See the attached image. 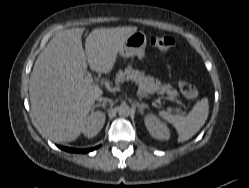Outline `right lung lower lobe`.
Instances as JSON below:
<instances>
[{
	"mask_svg": "<svg viewBox=\"0 0 249 188\" xmlns=\"http://www.w3.org/2000/svg\"><path fill=\"white\" fill-rule=\"evenodd\" d=\"M61 149L68 151V152H74V153H88L96 148H89V149H73L68 147H61Z\"/></svg>",
	"mask_w": 249,
	"mask_h": 188,
	"instance_id": "1",
	"label": "right lung lower lobe"
}]
</instances>
